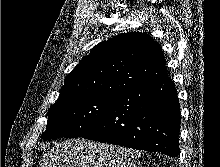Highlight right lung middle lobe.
<instances>
[{"label": "right lung middle lobe", "instance_id": "obj_1", "mask_svg": "<svg viewBox=\"0 0 220 167\" xmlns=\"http://www.w3.org/2000/svg\"><path fill=\"white\" fill-rule=\"evenodd\" d=\"M114 97L78 95L58 99L47 113L43 139L81 137L104 116Z\"/></svg>", "mask_w": 220, "mask_h": 167}]
</instances>
